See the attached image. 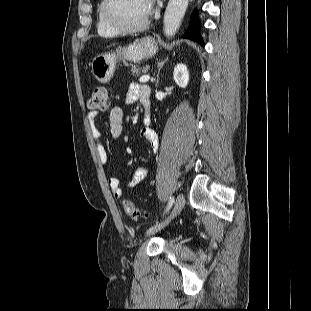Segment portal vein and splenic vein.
Instances as JSON below:
<instances>
[{"label":"portal vein and splenic vein","instance_id":"18ae733b","mask_svg":"<svg viewBox=\"0 0 311 311\" xmlns=\"http://www.w3.org/2000/svg\"><path fill=\"white\" fill-rule=\"evenodd\" d=\"M149 79H150L149 75H143L140 77L139 81H140V83H146L149 81Z\"/></svg>","mask_w":311,"mask_h":311}]
</instances>
